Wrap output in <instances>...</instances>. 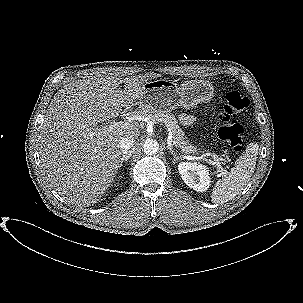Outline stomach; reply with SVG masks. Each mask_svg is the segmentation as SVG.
<instances>
[{
  "label": "stomach",
  "instance_id": "stomach-1",
  "mask_svg": "<svg viewBox=\"0 0 303 303\" xmlns=\"http://www.w3.org/2000/svg\"><path fill=\"white\" fill-rule=\"evenodd\" d=\"M138 107L145 113H170L177 107L191 109L199 103L209 102L214 94L207 80H191L178 85L174 81L159 79L143 84Z\"/></svg>",
  "mask_w": 303,
  "mask_h": 303
}]
</instances>
